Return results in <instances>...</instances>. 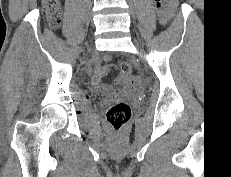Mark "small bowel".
I'll list each match as a JSON object with an SVG mask.
<instances>
[{
  "mask_svg": "<svg viewBox=\"0 0 231 177\" xmlns=\"http://www.w3.org/2000/svg\"><path fill=\"white\" fill-rule=\"evenodd\" d=\"M110 60H111V56L109 55L105 56V61L109 62ZM113 68L114 67L112 64L97 66L92 76V84L94 85V87L105 95H112L117 92L112 86L101 82L102 77L108 74ZM136 83L137 80L135 78L127 77L122 74L119 75L116 79V84L119 85L123 84L128 87H132Z\"/></svg>",
  "mask_w": 231,
  "mask_h": 177,
  "instance_id": "1",
  "label": "small bowel"
}]
</instances>
